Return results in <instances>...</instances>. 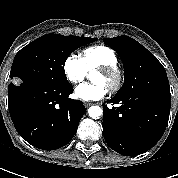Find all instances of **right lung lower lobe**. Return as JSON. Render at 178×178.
<instances>
[{
	"label": "right lung lower lobe",
	"instance_id": "1",
	"mask_svg": "<svg viewBox=\"0 0 178 178\" xmlns=\"http://www.w3.org/2000/svg\"><path fill=\"white\" fill-rule=\"evenodd\" d=\"M72 92L69 83L10 84L9 112L21 137L43 150H55L68 144L86 111L81 101L69 98Z\"/></svg>",
	"mask_w": 178,
	"mask_h": 178
}]
</instances>
